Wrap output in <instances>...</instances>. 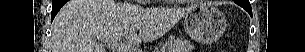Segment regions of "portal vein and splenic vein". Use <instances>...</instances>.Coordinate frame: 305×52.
<instances>
[{"label":"portal vein and splenic vein","mask_w":305,"mask_h":52,"mask_svg":"<svg viewBox=\"0 0 305 52\" xmlns=\"http://www.w3.org/2000/svg\"><path fill=\"white\" fill-rule=\"evenodd\" d=\"M104 42L111 45V49L113 50V52H137L136 49L122 45L120 43H117L116 41L106 40Z\"/></svg>","instance_id":"portal-vein-and-splenic-vein-1"}]
</instances>
